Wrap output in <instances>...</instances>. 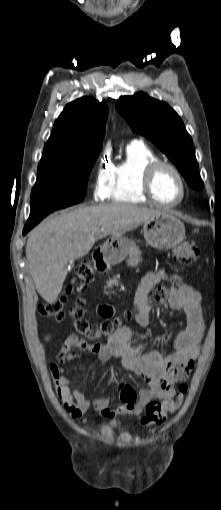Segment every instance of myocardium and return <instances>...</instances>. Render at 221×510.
<instances>
[{
    "label": "myocardium",
    "instance_id": "f54148a6",
    "mask_svg": "<svg viewBox=\"0 0 221 510\" xmlns=\"http://www.w3.org/2000/svg\"><path fill=\"white\" fill-rule=\"evenodd\" d=\"M163 168L171 170L176 175L181 185V196L177 201L172 203H165L158 200L153 190L154 179L157 173ZM141 188L147 200L163 208H171L180 205L185 200L188 190L186 181L180 170L174 164L160 159L151 161L144 166L141 176Z\"/></svg>",
    "mask_w": 221,
    "mask_h": 510
}]
</instances>
